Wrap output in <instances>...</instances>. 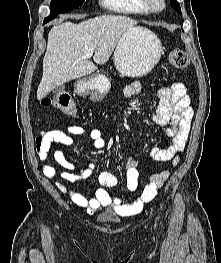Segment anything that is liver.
I'll use <instances>...</instances> for the list:
<instances>
[{
  "label": "liver",
  "instance_id": "liver-1",
  "mask_svg": "<svg viewBox=\"0 0 221 263\" xmlns=\"http://www.w3.org/2000/svg\"><path fill=\"white\" fill-rule=\"evenodd\" d=\"M137 23L124 16L101 15L78 24L53 26L48 34L37 99H43L56 86L95 71L96 65L87 56L90 48H95L94 62L105 64L123 34L136 28Z\"/></svg>",
  "mask_w": 221,
  "mask_h": 263
}]
</instances>
